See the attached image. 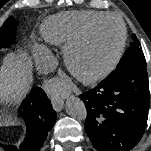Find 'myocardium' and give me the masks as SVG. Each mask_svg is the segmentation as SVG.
<instances>
[{"label": "myocardium", "mask_w": 151, "mask_h": 151, "mask_svg": "<svg viewBox=\"0 0 151 151\" xmlns=\"http://www.w3.org/2000/svg\"><path fill=\"white\" fill-rule=\"evenodd\" d=\"M111 19L117 21L121 27V38L114 57L103 68L92 73H83L75 63V55L77 51L82 48V46L87 42L93 31L101 23ZM127 36L128 34L126 23L123 18L118 14L107 13L96 19L76 39H74L72 42L68 43L65 46L64 56L69 71L74 77H76L79 81L85 84H92L103 80L117 67V65L121 61L126 47Z\"/></svg>", "instance_id": "f54148a6"}]
</instances>
